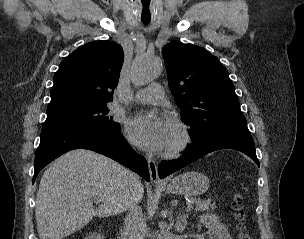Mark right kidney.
Segmentation results:
<instances>
[{"label": "right kidney", "mask_w": 304, "mask_h": 239, "mask_svg": "<svg viewBox=\"0 0 304 239\" xmlns=\"http://www.w3.org/2000/svg\"><path fill=\"white\" fill-rule=\"evenodd\" d=\"M85 239H103V237L100 234L93 233L88 235V237H86Z\"/></svg>", "instance_id": "obj_1"}]
</instances>
